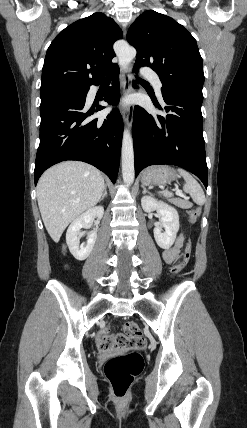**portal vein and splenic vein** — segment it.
Masks as SVG:
<instances>
[{
	"label": "portal vein and splenic vein",
	"instance_id": "1",
	"mask_svg": "<svg viewBox=\"0 0 247 428\" xmlns=\"http://www.w3.org/2000/svg\"><path fill=\"white\" fill-rule=\"evenodd\" d=\"M176 194L179 196H184V194L182 193V191H180L178 188L175 189Z\"/></svg>",
	"mask_w": 247,
	"mask_h": 428
}]
</instances>
